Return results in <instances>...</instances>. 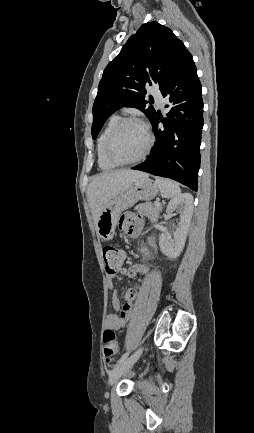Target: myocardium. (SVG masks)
I'll list each match as a JSON object with an SVG mask.
<instances>
[{"instance_id": "f54148a6", "label": "myocardium", "mask_w": 254, "mask_h": 433, "mask_svg": "<svg viewBox=\"0 0 254 433\" xmlns=\"http://www.w3.org/2000/svg\"><path fill=\"white\" fill-rule=\"evenodd\" d=\"M129 123L138 124L144 129L146 137H147V144H146L144 150L142 151V153L138 157L131 159V160H128V161H121L112 155L111 146H112L113 140H114L116 134L119 132V130L123 126H125L126 124H129ZM153 142H154L153 136H152L149 128L147 127V125L144 122H142L140 119L135 118V117L122 118L115 125V127L111 130V132L109 133V135L106 139V142L104 145V156L110 163H112L115 166H126V165L135 164V163L142 161L148 155L149 151L151 150V148L153 146Z\"/></svg>"}]
</instances>
